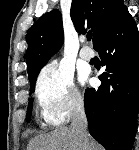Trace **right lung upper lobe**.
<instances>
[{
  "label": "right lung upper lobe",
  "instance_id": "right-lung-upper-lobe-1",
  "mask_svg": "<svg viewBox=\"0 0 139 150\" xmlns=\"http://www.w3.org/2000/svg\"><path fill=\"white\" fill-rule=\"evenodd\" d=\"M127 10L123 0H72L70 16L77 32H93V45ZM64 39L62 17L57 9L44 14L31 28L26 54L29 81L62 46Z\"/></svg>",
  "mask_w": 139,
  "mask_h": 150
}]
</instances>
